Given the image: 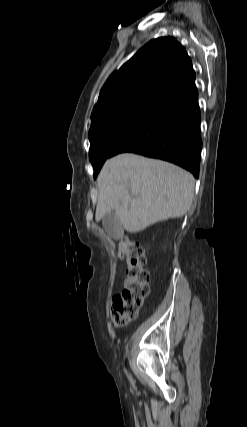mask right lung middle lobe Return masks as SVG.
<instances>
[{
	"label": "right lung middle lobe",
	"mask_w": 247,
	"mask_h": 427,
	"mask_svg": "<svg viewBox=\"0 0 247 427\" xmlns=\"http://www.w3.org/2000/svg\"><path fill=\"white\" fill-rule=\"evenodd\" d=\"M155 109L150 106L127 107L106 113L91 122L89 159L94 168V178L116 147Z\"/></svg>",
	"instance_id": "right-lung-middle-lobe-1"
}]
</instances>
